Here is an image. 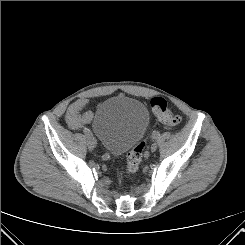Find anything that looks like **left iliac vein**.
I'll return each mask as SVG.
<instances>
[{"instance_id": "4c4485c4", "label": "left iliac vein", "mask_w": 245, "mask_h": 245, "mask_svg": "<svg viewBox=\"0 0 245 245\" xmlns=\"http://www.w3.org/2000/svg\"><path fill=\"white\" fill-rule=\"evenodd\" d=\"M151 152H155L156 150H157V144L156 143H153L152 145H151Z\"/></svg>"}]
</instances>
